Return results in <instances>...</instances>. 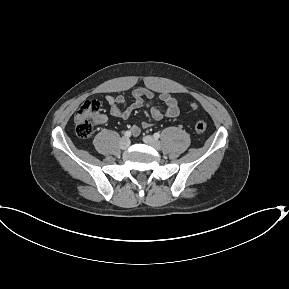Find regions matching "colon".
<instances>
[{"instance_id":"obj_1","label":"colon","mask_w":289,"mask_h":289,"mask_svg":"<svg viewBox=\"0 0 289 289\" xmlns=\"http://www.w3.org/2000/svg\"><path fill=\"white\" fill-rule=\"evenodd\" d=\"M192 109H197V104H191ZM101 111V103L97 100L85 101L74 118L75 131L81 138H87L91 135L95 122L99 118ZM207 124L203 120H199L195 123V130L197 133L205 132Z\"/></svg>"}]
</instances>
